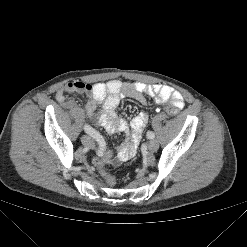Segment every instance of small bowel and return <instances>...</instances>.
Listing matches in <instances>:
<instances>
[{"label": "small bowel", "mask_w": 247, "mask_h": 247, "mask_svg": "<svg viewBox=\"0 0 247 247\" xmlns=\"http://www.w3.org/2000/svg\"><path fill=\"white\" fill-rule=\"evenodd\" d=\"M74 93L85 94L88 97L86 115L92 124L104 128L111 134L118 132L128 134V141L121 146L114 159H112L110 151L103 152L101 155L100 159L105 164H112L114 166L130 159L135 154L147 121V115L139 113L128 125L115 112L116 107L122 100L128 98L140 104H145V94H147L153 97L157 103H169L177 108H183L184 106V100L180 92L169 86L140 82L125 83L119 80L95 84L81 81L69 82L56 92L55 97L63 108L80 112L77 103L67 98L68 94Z\"/></svg>", "instance_id": "small-bowel-1"}]
</instances>
